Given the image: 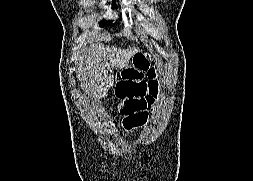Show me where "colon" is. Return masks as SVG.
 <instances>
[{"mask_svg": "<svg viewBox=\"0 0 253 181\" xmlns=\"http://www.w3.org/2000/svg\"><path fill=\"white\" fill-rule=\"evenodd\" d=\"M146 55L134 56L133 64L122 72V79L116 87V95L121 100V112L124 126L128 130L142 127L147 120L151 100L148 98L146 73L148 70Z\"/></svg>", "mask_w": 253, "mask_h": 181, "instance_id": "5ec220e1", "label": "colon"}]
</instances>
